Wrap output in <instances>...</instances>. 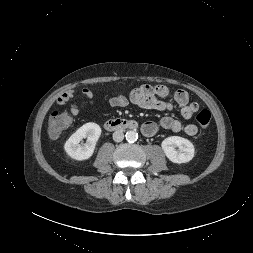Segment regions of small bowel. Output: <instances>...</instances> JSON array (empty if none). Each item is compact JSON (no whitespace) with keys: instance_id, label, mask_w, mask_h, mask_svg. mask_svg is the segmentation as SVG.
I'll use <instances>...</instances> for the list:
<instances>
[{"instance_id":"c3829d8e","label":"small bowel","mask_w":253,"mask_h":253,"mask_svg":"<svg viewBox=\"0 0 253 253\" xmlns=\"http://www.w3.org/2000/svg\"><path fill=\"white\" fill-rule=\"evenodd\" d=\"M81 93L89 99L91 104L94 103L93 93L89 89L83 88ZM75 94L76 92L74 90H68L62 93L57 98L56 102L58 105H64L71 101ZM164 98H171L173 102L161 100ZM108 103L112 107H125L131 103L144 109L159 111L172 110L176 104L180 108L181 116L185 120L191 119L199 109L196 102H190L189 95L185 90L179 89L172 93L169 88L163 84L142 85L131 91L128 97L124 95L114 96L109 98ZM79 111V106L76 103H72L70 106L71 114L77 115ZM159 126L176 133L183 132L190 137L195 136L198 132L196 125L191 123L184 125L181 121L168 116L162 118L159 124L154 121H146L143 123L141 130L145 136L150 137L157 132Z\"/></svg>"}]
</instances>
